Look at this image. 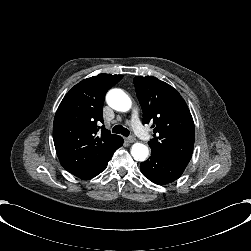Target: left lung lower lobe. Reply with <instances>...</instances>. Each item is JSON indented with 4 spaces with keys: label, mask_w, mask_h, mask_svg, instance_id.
Masks as SVG:
<instances>
[{
    "label": "left lung lower lobe",
    "mask_w": 251,
    "mask_h": 251,
    "mask_svg": "<svg viewBox=\"0 0 251 251\" xmlns=\"http://www.w3.org/2000/svg\"><path fill=\"white\" fill-rule=\"evenodd\" d=\"M187 164L174 161L151 152V156L140 165L142 174L158 185H165L178 179Z\"/></svg>",
    "instance_id": "1"
}]
</instances>
